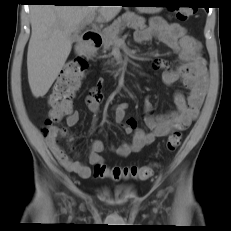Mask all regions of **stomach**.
Returning a JSON list of instances; mask_svg holds the SVG:
<instances>
[{
    "mask_svg": "<svg viewBox=\"0 0 231 231\" xmlns=\"http://www.w3.org/2000/svg\"><path fill=\"white\" fill-rule=\"evenodd\" d=\"M140 4H159L160 1L156 0H140L138 1ZM162 7H137V10L140 13H157L161 11Z\"/></svg>",
    "mask_w": 231,
    "mask_h": 231,
    "instance_id": "obj_1",
    "label": "stomach"
}]
</instances>
